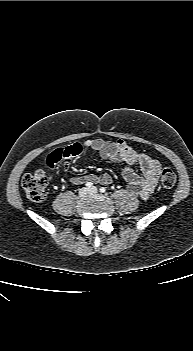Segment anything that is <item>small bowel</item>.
<instances>
[{
  "mask_svg": "<svg viewBox=\"0 0 193 351\" xmlns=\"http://www.w3.org/2000/svg\"><path fill=\"white\" fill-rule=\"evenodd\" d=\"M83 149L95 151L102 159L127 164L122 169V175L127 182L129 193L139 195L144 199L153 193L161 171L160 163L147 154L136 152L124 140L106 141L94 138L84 140L82 144L80 142L68 143L53 149L45 156L44 168L47 171H54L65 161L63 167L68 169L70 162H73L83 152ZM134 166L140 169V174L133 169ZM87 182L109 185L112 183V177L104 173L99 176L88 174L70 178L72 185H82Z\"/></svg>",
  "mask_w": 193,
  "mask_h": 351,
  "instance_id": "c3829d8e",
  "label": "small bowel"
}]
</instances>
